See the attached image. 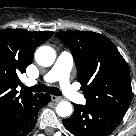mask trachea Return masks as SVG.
<instances>
[{
  "instance_id": "1",
  "label": "trachea",
  "mask_w": 136,
  "mask_h": 136,
  "mask_svg": "<svg viewBox=\"0 0 136 136\" xmlns=\"http://www.w3.org/2000/svg\"><path fill=\"white\" fill-rule=\"evenodd\" d=\"M23 88L29 92H48V93L55 95V96L61 95V91L58 88L47 87L46 85H43V84L35 85L32 87L23 86Z\"/></svg>"
}]
</instances>
